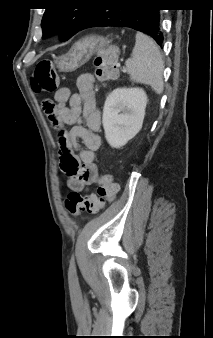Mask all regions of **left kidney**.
<instances>
[{"label": "left kidney", "mask_w": 213, "mask_h": 338, "mask_svg": "<svg viewBox=\"0 0 213 338\" xmlns=\"http://www.w3.org/2000/svg\"><path fill=\"white\" fill-rule=\"evenodd\" d=\"M147 101L141 88H117L108 95L102 123L111 147L121 148L140 131Z\"/></svg>", "instance_id": "obj_1"}]
</instances>
